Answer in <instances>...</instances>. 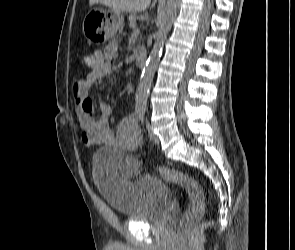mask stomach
<instances>
[{"mask_svg": "<svg viewBox=\"0 0 295 250\" xmlns=\"http://www.w3.org/2000/svg\"><path fill=\"white\" fill-rule=\"evenodd\" d=\"M124 17L121 12L112 8H96L85 16L83 33L92 40V45H105L123 25Z\"/></svg>", "mask_w": 295, "mask_h": 250, "instance_id": "1", "label": "stomach"}]
</instances>
